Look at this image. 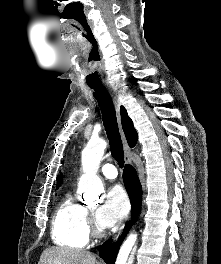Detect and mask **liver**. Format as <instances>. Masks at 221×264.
I'll use <instances>...</instances> for the list:
<instances>
[{"label":"liver","instance_id":"1","mask_svg":"<svg viewBox=\"0 0 221 264\" xmlns=\"http://www.w3.org/2000/svg\"><path fill=\"white\" fill-rule=\"evenodd\" d=\"M38 264H100L89 251L52 247L43 251Z\"/></svg>","mask_w":221,"mask_h":264}]
</instances>
